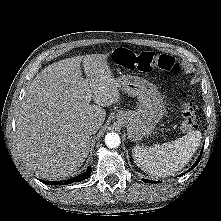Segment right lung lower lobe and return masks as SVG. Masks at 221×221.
I'll use <instances>...</instances> for the list:
<instances>
[{
    "mask_svg": "<svg viewBox=\"0 0 221 221\" xmlns=\"http://www.w3.org/2000/svg\"><path fill=\"white\" fill-rule=\"evenodd\" d=\"M90 173H91V167H88V169L86 170V172L84 174L70 178L65 181H51V182L42 181V182H44L45 184H48V185H68V184H71L74 182H79V181L87 179L89 177Z\"/></svg>",
    "mask_w": 221,
    "mask_h": 221,
    "instance_id": "obj_1",
    "label": "right lung lower lobe"
}]
</instances>
